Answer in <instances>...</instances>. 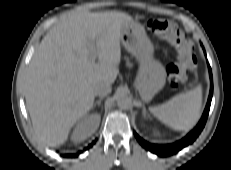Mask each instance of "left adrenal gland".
I'll list each match as a JSON object with an SVG mask.
<instances>
[{
	"label": "left adrenal gland",
	"instance_id": "1",
	"mask_svg": "<svg viewBox=\"0 0 231 170\" xmlns=\"http://www.w3.org/2000/svg\"><path fill=\"white\" fill-rule=\"evenodd\" d=\"M143 115L146 116V108L143 107Z\"/></svg>",
	"mask_w": 231,
	"mask_h": 170
}]
</instances>
